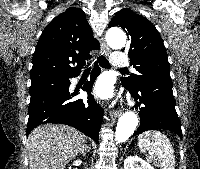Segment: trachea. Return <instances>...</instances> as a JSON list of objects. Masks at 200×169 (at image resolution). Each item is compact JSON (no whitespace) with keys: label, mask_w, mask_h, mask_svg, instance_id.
<instances>
[{"label":"trachea","mask_w":200,"mask_h":169,"mask_svg":"<svg viewBox=\"0 0 200 169\" xmlns=\"http://www.w3.org/2000/svg\"><path fill=\"white\" fill-rule=\"evenodd\" d=\"M98 63L103 67V68H110L109 61L103 56L100 55L97 57ZM91 67H89V64L87 65L85 71H89ZM120 70H126L125 68H121Z\"/></svg>","instance_id":"trachea-1"}]
</instances>
